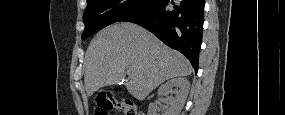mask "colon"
Returning a JSON list of instances; mask_svg holds the SVG:
<instances>
[{
	"instance_id": "obj_1",
	"label": "colon",
	"mask_w": 285,
	"mask_h": 115,
	"mask_svg": "<svg viewBox=\"0 0 285 115\" xmlns=\"http://www.w3.org/2000/svg\"><path fill=\"white\" fill-rule=\"evenodd\" d=\"M112 109L121 111L126 115H138L132 102L128 99L117 100L112 96L102 95L97 99L96 114L107 115Z\"/></svg>"
}]
</instances>
